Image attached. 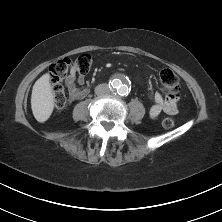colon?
Returning a JSON list of instances; mask_svg holds the SVG:
<instances>
[{"mask_svg":"<svg viewBox=\"0 0 222 222\" xmlns=\"http://www.w3.org/2000/svg\"><path fill=\"white\" fill-rule=\"evenodd\" d=\"M93 64L92 55L85 53L71 60L68 58L57 60L49 67V75L51 79V86L54 95V105L57 110H62L67 104V93L64 87V81L74 69L80 75L87 74ZM160 83L168 95L173 90H178L180 87V79L178 75L170 69L162 70L160 73ZM169 101V100H168ZM175 125L173 117H166L162 121V126L170 129Z\"/></svg>","mask_w":222,"mask_h":222,"instance_id":"1","label":"colon"}]
</instances>
